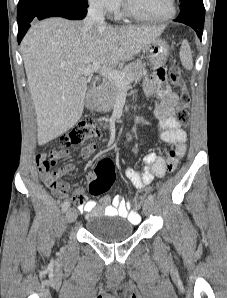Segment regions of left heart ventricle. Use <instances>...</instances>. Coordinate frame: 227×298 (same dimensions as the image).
<instances>
[{
  "label": "left heart ventricle",
  "instance_id": "b2bd125f",
  "mask_svg": "<svg viewBox=\"0 0 227 298\" xmlns=\"http://www.w3.org/2000/svg\"><path fill=\"white\" fill-rule=\"evenodd\" d=\"M136 13L147 17H161L169 11V0H125Z\"/></svg>",
  "mask_w": 227,
  "mask_h": 298
}]
</instances>
